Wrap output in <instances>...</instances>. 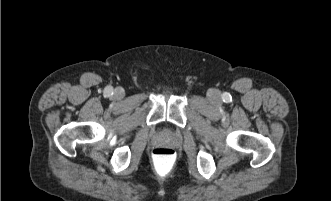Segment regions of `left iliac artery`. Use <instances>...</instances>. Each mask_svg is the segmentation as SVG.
<instances>
[{"mask_svg":"<svg viewBox=\"0 0 331 201\" xmlns=\"http://www.w3.org/2000/svg\"><path fill=\"white\" fill-rule=\"evenodd\" d=\"M229 97H231V96H229V94H227V93H225V94L222 95V99L224 101H227L229 99Z\"/></svg>","mask_w":331,"mask_h":201,"instance_id":"left-iliac-artery-1","label":"left iliac artery"}]
</instances>
